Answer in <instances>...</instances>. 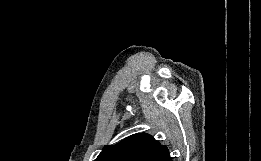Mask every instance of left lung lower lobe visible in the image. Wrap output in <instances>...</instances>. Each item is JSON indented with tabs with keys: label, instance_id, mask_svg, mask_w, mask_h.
I'll return each instance as SVG.
<instances>
[{
	"label": "left lung lower lobe",
	"instance_id": "1",
	"mask_svg": "<svg viewBox=\"0 0 261 161\" xmlns=\"http://www.w3.org/2000/svg\"><path fill=\"white\" fill-rule=\"evenodd\" d=\"M155 161H172L170 156H169V153H168V150L166 149L164 152H162L157 158Z\"/></svg>",
	"mask_w": 261,
	"mask_h": 161
}]
</instances>
